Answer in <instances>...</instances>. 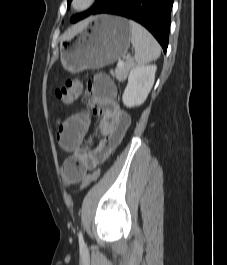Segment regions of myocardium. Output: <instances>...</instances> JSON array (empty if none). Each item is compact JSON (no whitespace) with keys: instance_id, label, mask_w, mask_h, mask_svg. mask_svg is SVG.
<instances>
[{"instance_id":"myocardium-1","label":"myocardium","mask_w":227,"mask_h":265,"mask_svg":"<svg viewBox=\"0 0 227 265\" xmlns=\"http://www.w3.org/2000/svg\"><path fill=\"white\" fill-rule=\"evenodd\" d=\"M97 0H71L70 6L73 11L81 13L89 10Z\"/></svg>"}]
</instances>
